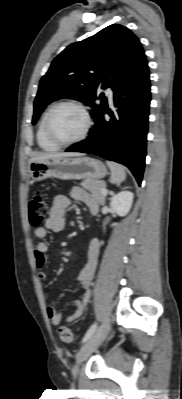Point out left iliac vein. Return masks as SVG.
I'll list each match as a JSON object with an SVG mask.
<instances>
[{"mask_svg": "<svg viewBox=\"0 0 182 399\" xmlns=\"http://www.w3.org/2000/svg\"><path fill=\"white\" fill-rule=\"evenodd\" d=\"M109 328H110V321L107 320L99 327V329L95 333H93V335L89 338V340L80 348L76 357V363L72 369V374L74 377L78 376L81 364L103 342V340L108 334Z\"/></svg>", "mask_w": 182, "mask_h": 399, "instance_id": "left-iliac-vein-1", "label": "left iliac vein"}]
</instances>
